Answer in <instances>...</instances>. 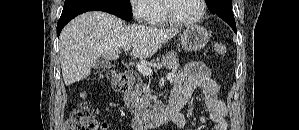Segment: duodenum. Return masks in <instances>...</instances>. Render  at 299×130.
Here are the masks:
<instances>
[{
  "mask_svg": "<svg viewBox=\"0 0 299 130\" xmlns=\"http://www.w3.org/2000/svg\"><path fill=\"white\" fill-rule=\"evenodd\" d=\"M125 82L128 86L134 83L135 77L132 71L124 72ZM188 96L184 94H172L168 103L155 113L143 117H134L132 126L134 130H147L157 127L161 124L173 121L180 113L181 107L187 102Z\"/></svg>",
  "mask_w": 299,
  "mask_h": 130,
  "instance_id": "duodenum-1",
  "label": "duodenum"
}]
</instances>
